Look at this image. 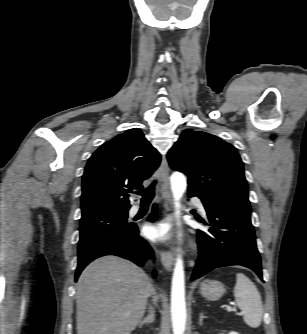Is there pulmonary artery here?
I'll list each match as a JSON object with an SVG mask.
<instances>
[{
  "label": "pulmonary artery",
  "instance_id": "1",
  "mask_svg": "<svg viewBox=\"0 0 307 334\" xmlns=\"http://www.w3.org/2000/svg\"><path fill=\"white\" fill-rule=\"evenodd\" d=\"M193 202L196 205V207L198 208V210L200 211V213L203 216H207V212H206V209H205L203 203L199 199H194ZM138 212H139V207L138 206H133L130 209V215H132V216L136 215Z\"/></svg>",
  "mask_w": 307,
  "mask_h": 334
}]
</instances>
